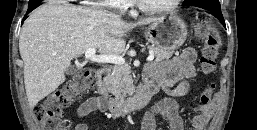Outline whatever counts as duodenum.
<instances>
[{
    "mask_svg": "<svg viewBox=\"0 0 257 130\" xmlns=\"http://www.w3.org/2000/svg\"><path fill=\"white\" fill-rule=\"evenodd\" d=\"M108 77V68L99 69L97 92L103 101L105 109L108 110L112 117H119L143 108L159 89V84L155 80L146 79L134 96L127 99H116L109 93Z\"/></svg>",
    "mask_w": 257,
    "mask_h": 130,
    "instance_id": "duodenum-1",
    "label": "duodenum"
}]
</instances>
